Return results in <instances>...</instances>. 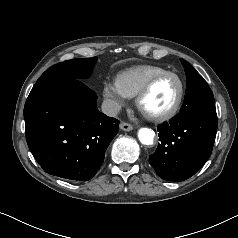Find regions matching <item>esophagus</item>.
I'll return each instance as SVG.
<instances>
[{"instance_id":"1","label":"esophagus","mask_w":238,"mask_h":238,"mask_svg":"<svg viewBox=\"0 0 238 238\" xmlns=\"http://www.w3.org/2000/svg\"><path fill=\"white\" fill-rule=\"evenodd\" d=\"M120 128L123 130V131H131L133 129V125L129 124V123H126V122H121L120 123Z\"/></svg>"}]
</instances>
